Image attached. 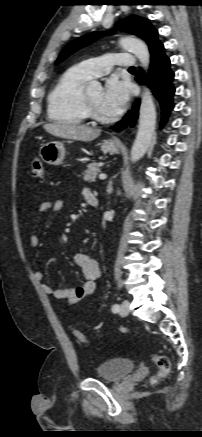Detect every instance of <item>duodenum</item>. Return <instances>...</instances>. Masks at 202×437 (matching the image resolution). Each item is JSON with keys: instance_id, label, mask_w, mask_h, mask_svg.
<instances>
[{"instance_id": "410a0bca", "label": "duodenum", "mask_w": 202, "mask_h": 437, "mask_svg": "<svg viewBox=\"0 0 202 437\" xmlns=\"http://www.w3.org/2000/svg\"><path fill=\"white\" fill-rule=\"evenodd\" d=\"M87 203L92 208H96L99 204L98 199L94 194L87 197Z\"/></svg>"}]
</instances>
